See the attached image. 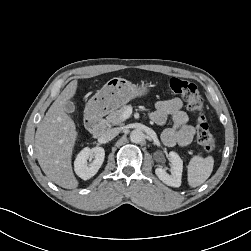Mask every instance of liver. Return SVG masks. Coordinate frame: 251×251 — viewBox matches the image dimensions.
<instances>
[{
    "label": "liver",
    "mask_w": 251,
    "mask_h": 251,
    "mask_svg": "<svg viewBox=\"0 0 251 251\" xmlns=\"http://www.w3.org/2000/svg\"><path fill=\"white\" fill-rule=\"evenodd\" d=\"M78 81H71L48 109L35 134V153L45 175L55 184L74 189L78 181L72 170V152L78 138L76 125L64 104L76 94Z\"/></svg>",
    "instance_id": "obj_1"
}]
</instances>
